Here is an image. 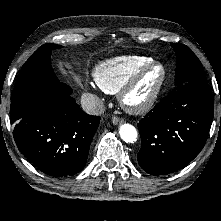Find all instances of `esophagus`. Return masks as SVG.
<instances>
[{
    "label": "esophagus",
    "mask_w": 221,
    "mask_h": 221,
    "mask_svg": "<svg viewBox=\"0 0 221 221\" xmlns=\"http://www.w3.org/2000/svg\"><path fill=\"white\" fill-rule=\"evenodd\" d=\"M123 121H124V120H123L122 118L118 117V116L112 117V123H113L114 125L121 124V123H123Z\"/></svg>",
    "instance_id": "obj_1"
}]
</instances>
